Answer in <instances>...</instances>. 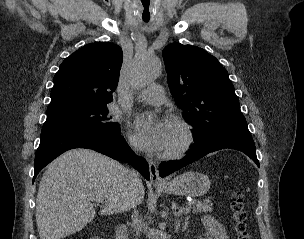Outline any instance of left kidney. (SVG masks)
I'll list each match as a JSON object with an SVG mask.
<instances>
[{
  "label": "left kidney",
  "instance_id": "5707ae66",
  "mask_svg": "<svg viewBox=\"0 0 304 239\" xmlns=\"http://www.w3.org/2000/svg\"><path fill=\"white\" fill-rule=\"evenodd\" d=\"M202 224L207 229L208 239H230L225 227L212 216H204Z\"/></svg>",
  "mask_w": 304,
  "mask_h": 239
}]
</instances>
